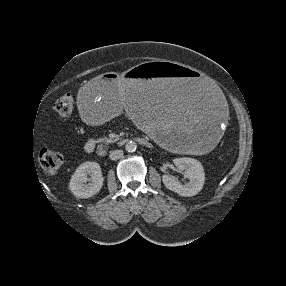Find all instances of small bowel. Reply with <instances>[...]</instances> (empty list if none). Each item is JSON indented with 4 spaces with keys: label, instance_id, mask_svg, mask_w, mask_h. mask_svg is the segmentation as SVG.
<instances>
[{
    "label": "small bowel",
    "instance_id": "1",
    "mask_svg": "<svg viewBox=\"0 0 286 286\" xmlns=\"http://www.w3.org/2000/svg\"><path fill=\"white\" fill-rule=\"evenodd\" d=\"M94 149H95V140L90 138L84 143L83 150L86 154H91L93 153Z\"/></svg>",
    "mask_w": 286,
    "mask_h": 286
}]
</instances>
